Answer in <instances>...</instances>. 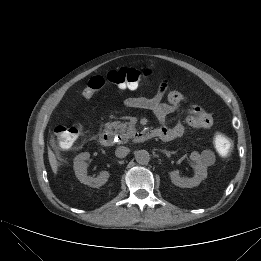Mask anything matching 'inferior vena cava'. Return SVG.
Returning <instances> with one entry per match:
<instances>
[{
  "label": "inferior vena cava",
  "instance_id": "602c4592",
  "mask_svg": "<svg viewBox=\"0 0 261 261\" xmlns=\"http://www.w3.org/2000/svg\"><path fill=\"white\" fill-rule=\"evenodd\" d=\"M130 152L129 148L125 147V146H120L116 149L115 151V155L118 158H124L128 155V153Z\"/></svg>",
  "mask_w": 261,
  "mask_h": 261
}]
</instances>
